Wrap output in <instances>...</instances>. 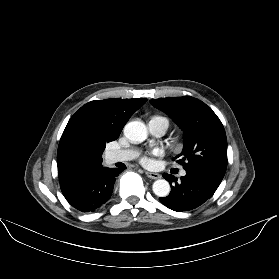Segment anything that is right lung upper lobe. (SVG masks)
Listing matches in <instances>:
<instances>
[{"label":"right lung upper lobe","mask_w":279,"mask_h":279,"mask_svg":"<svg viewBox=\"0 0 279 279\" xmlns=\"http://www.w3.org/2000/svg\"><path fill=\"white\" fill-rule=\"evenodd\" d=\"M147 99H105L82 106L69 120L59 142V181L102 166L106 143L114 141L123 127Z\"/></svg>","instance_id":"obj_1"}]
</instances>
